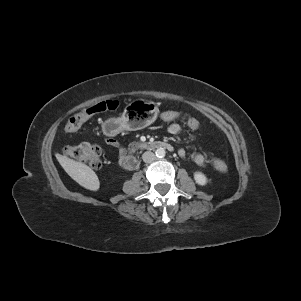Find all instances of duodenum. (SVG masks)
Returning <instances> with one entry per match:
<instances>
[{
  "label": "duodenum",
  "instance_id": "410a0bca",
  "mask_svg": "<svg viewBox=\"0 0 301 301\" xmlns=\"http://www.w3.org/2000/svg\"><path fill=\"white\" fill-rule=\"evenodd\" d=\"M143 150H155V149H166L168 151H173V146L164 141H150L142 143L140 146ZM121 166L126 170H134L137 165V159L133 154H125V156L120 160Z\"/></svg>",
  "mask_w": 301,
  "mask_h": 301
}]
</instances>
